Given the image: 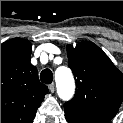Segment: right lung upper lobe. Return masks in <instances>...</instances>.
Returning a JSON list of instances; mask_svg holds the SVG:
<instances>
[{"label": "right lung upper lobe", "instance_id": "obj_1", "mask_svg": "<svg viewBox=\"0 0 123 123\" xmlns=\"http://www.w3.org/2000/svg\"><path fill=\"white\" fill-rule=\"evenodd\" d=\"M32 45L21 38L1 44V123H33L47 94L30 63Z\"/></svg>", "mask_w": 123, "mask_h": 123}]
</instances>
